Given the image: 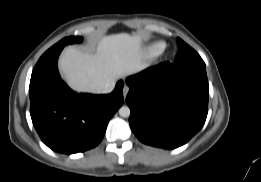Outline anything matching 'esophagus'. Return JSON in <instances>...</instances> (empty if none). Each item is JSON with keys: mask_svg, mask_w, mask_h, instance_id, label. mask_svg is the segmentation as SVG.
Instances as JSON below:
<instances>
[{"mask_svg": "<svg viewBox=\"0 0 261 182\" xmlns=\"http://www.w3.org/2000/svg\"><path fill=\"white\" fill-rule=\"evenodd\" d=\"M128 92H129V87L127 85H124V87H123V96H124V98L127 96Z\"/></svg>", "mask_w": 261, "mask_h": 182, "instance_id": "esophagus-1", "label": "esophagus"}]
</instances>
